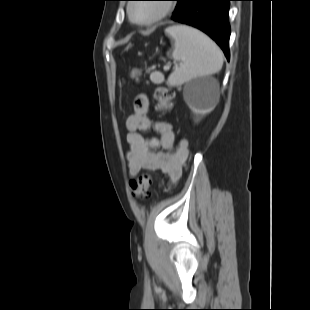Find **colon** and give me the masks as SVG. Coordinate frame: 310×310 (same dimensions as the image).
<instances>
[{
  "instance_id": "colon-1",
  "label": "colon",
  "mask_w": 310,
  "mask_h": 310,
  "mask_svg": "<svg viewBox=\"0 0 310 310\" xmlns=\"http://www.w3.org/2000/svg\"><path fill=\"white\" fill-rule=\"evenodd\" d=\"M162 80L163 76L159 72H154L151 75V81L158 85L154 92L157 108L159 110H168L172 106L175 94L172 89L160 85ZM151 185L152 177L150 174L145 173L130 182V189L135 197L140 198L147 195Z\"/></svg>"
}]
</instances>
